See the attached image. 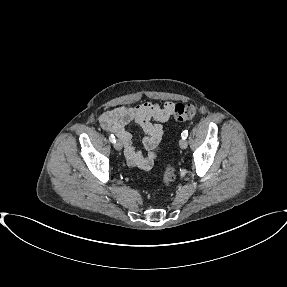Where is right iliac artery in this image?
<instances>
[{"label":"right iliac artery","instance_id":"1","mask_svg":"<svg viewBox=\"0 0 287 287\" xmlns=\"http://www.w3.org/2000/svg\"><path fill=\"white\" fill-rule=\"evenodd\" d=\"M109 140H110L112 143H115V142H116L115 137H114L113 134H111V135L109 136Z\"/></svg>","mask_w":287,"mask_h":287}]
</instances>
